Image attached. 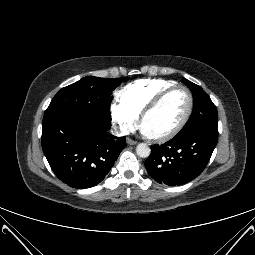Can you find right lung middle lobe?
Segmentation results:
<instances>
[{
	"mask_svg": "<svg viewBox=\"0 0 255 255\" xmlns=\"http://www.w3.org/2000/svg\"><path fill=\"white\" fill-rule=\"evenodd\" d=\"M120 82L111 78L87 76L62 88L44 113H76L87 116L101 125H111L112 91Z\"/></svg>",
	"mask_w": 255,
	"mask_h": 255,
	"instance_id": "obj_1",
	"label": "right lung middle lobe"
}]
</instances>
